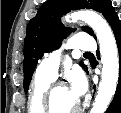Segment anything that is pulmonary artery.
I'll return each instance as SVG.
<instances>
[{"instance_id":"pulmonary-artery-1","label":"pulmonary artery","mask_w":121,"mask_h":113,"mask_svg":"<svg viewBox=\"0 0 121 113\" xmlns=\"http://www.w3.org/2000/svg\"><path fill=\"white\" fill-rule=\"evenodd\" d=\"M70 43L73 44L74 49L80 51L94 50L93 39L88 34H75L73 39L70 40ZM60 59L61 51H54L46 55L39 63L37 73L55 79L57 77Z\"/></svg>"}]
</instances>
